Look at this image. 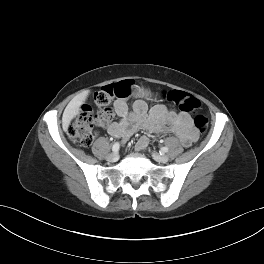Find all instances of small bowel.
I'll use <instances>...</instances> for the list:
<instances>
[{
    "label": "small bowel",
    "mask_w": 264,
    "mask_h": 264,
    "mask_svg": "<svg viewBox=\"0 0 264 264\" xmlns=\"http://www.w3.org/2000/svg\"><path fill=\"white\" fill-rule=\"evenodd\" d=\"M114 109L118 121L109 125L108 132L122 140L128 139L139 129L155 133L168 130L176 134L185 147L191 146L197 139V133L188 113H177L162 105H157L148 111V106L143 100L135 101L132 110H129L126 100L117 99L114 102ZM148 142V136H142L136 143V149L145 150Z\"/></svg>",
    "instance_id": "1"
}]
</instances>
